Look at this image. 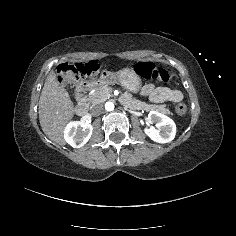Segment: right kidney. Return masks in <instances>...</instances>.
<instances>
[{"instance_id": "right-kidney-1", "label": "right kidney", "mask_w": 236, "mask_h": 236, "mask_svg": "<svg viewBox=\"0 0 236 236\" xmlns=\"http://www.w3.org/2000/svg\"><path fill=\"white\" fill-rule=\"evenodd\" d=\"M93 127L81 121H72L64 129V139L73 148L84 146L92 135Z\"/></svg>"}]
</instances>
